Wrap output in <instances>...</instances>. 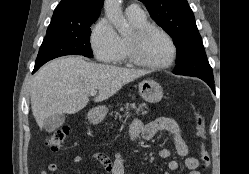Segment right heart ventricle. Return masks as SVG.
<instances>
[{"label": "right heart ventricle", "instance_id": "right-heart-ventricle-1", "mask_svg": "<svg viewBox=\"0 0 249 174\" xmlns=\"http://www.w3.org/2000/svg\"><path fill=\"white\" fill-rule=\"evenodd\" d=\"M127 17H128V20H129L133 29H137V28L142 27L146 24H149L145 15H143V16L127 15ZM127 38H128L127 36L120 37V41H121V45H122V52H121L120 57L114 63L121 64V63L127 62V60H128V55H127V51H126Z\"/></svg>", "mask_w": 249, "mask_h": 174}]
</instances>
